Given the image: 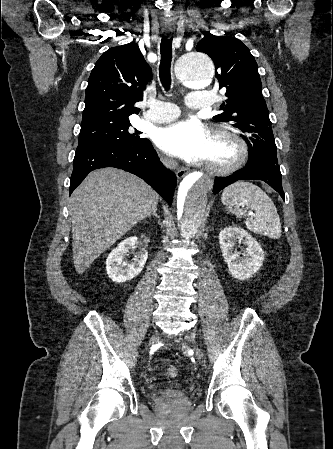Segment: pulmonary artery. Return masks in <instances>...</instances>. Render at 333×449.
<instances>
[{
    "label": "pulmonary artery",
    "instance_id": "pulmonary-artery-1",
    "mask_svg": "<svg viewBox=\"0 0 333 449\" xmlns=\"http://www.w3.org/2000/svg\"><path fill=\"white\" fill-rule=\"evenodd\" d=\"M214 103V97L210 92L195 90L188 94L186 104L192 109L209 108ZM148 110L144 113V119L164 123L177 118L180 114L178 106L174 103L163 101H152L148 104Z\"/></svg>",
    "mask_w": 333,
    "mask_h": 449
}]
</instances>
